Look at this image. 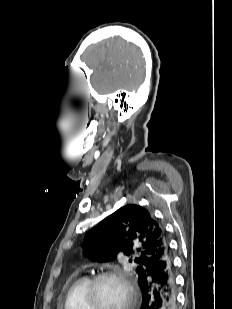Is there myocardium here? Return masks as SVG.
<instances>
[{
    "label": "myocardium",
    "mask_w": 232,
    "mask_h": 309,
    "mask_svg": "<svg viewBox=\"0 0 232 309\" xmlns=\"http://www.w3.org/2000/svg\"><path fill=\"white\" fill-rule=\"evenodd\" d=\"M106 279H116L123 284L126 291V299L121 309H131L136 297V292L127 274L119 269H109L102 271L90 279L85 292V302L88 306V309H98L97 288L99 283Z\"/></svg>",
    "instance_id": "obj_1"
}]
</instances>
